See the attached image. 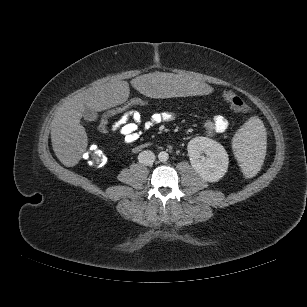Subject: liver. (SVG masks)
<instances>
[{
    "label": "liver",
    "instance_id": "obj_1",
    "mask_svg": "<svg viewBox=\"0 0 307 307\" xmlns=\"http://www.w3.org/2000/svg\"><path fill=\"white\" fill-rule=\"evenodd\" d=\"M133 86L137 92L153 98L187 97L195 93L212 96L217 91L212 81L197 83L191 77L163 72L137 75ZM128 96V83L119 81L86 89L59 107L51 122L52 147L59 161L66 167H73L87 148L88 137L80 124L85 108L104 111L125 102Z\"/></svg>",
    "mask_w": 307,
    "mask_h": 307
}]
</instances>
